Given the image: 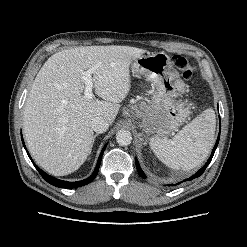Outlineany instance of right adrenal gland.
<instances>
[{"mask_svg": "<svg viewBox=\"0 0 247 247\" xmlns=\"http://www.w3.org/2000/svg\"><path fill=\"white\" fill-rule=\"evenodd\" d=\"M97 136H98V134H95V135L93 136L92 147H93V144H94L95 139H96Z\"/></svg>", "mask_w": 247, "mask_h": 247, "instance_id": "2a0ac1e0", "label": "right adrenal gland"}]
</instances>
